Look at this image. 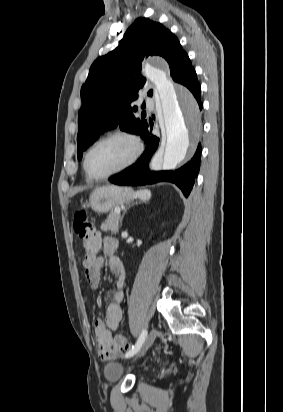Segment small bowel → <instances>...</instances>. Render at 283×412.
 <instances>
[{
	"label": "small bowel",
	"mask_w": 283,
	"mask_h": 412,
	"mask_svg": "<svg viewBox=\"0 0 283 412\" xmlns=\"http://www.w3.org/2000/svg\"><path fill=\"white\" fill-rule=\"evenodd\" d=\"M97 238L99 241L98 251H102L108 258L107 264L114 279V286L109 290V295L112 297V300L106 308L105 318H98L94 321V332L97 344L105 349L104 352L100 353V356L102 358L114 359L119 353L111 348L112 331L118 329L122 320L121 301L123 298L122 287L125 271L121 260L114 256V252L117 248V241L112 237L102 238L99 233H97ZM83 267L88 283L94 289L98 288L104 267L103 257H100L97 254L93 257L85 255Z\"/></svg>",
	"instance_id": "small-bowel-1"
}]
</instances>
